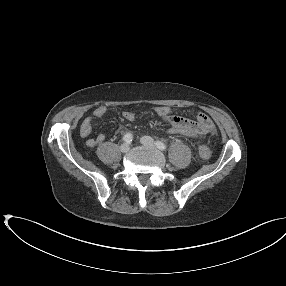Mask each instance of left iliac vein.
<instances>
[{
    "label": "left iliac vein",
    "instance_id": "obj_1",
    "mask_svg": "<svg viewBox=\"0 0 286 286\" xmlns=\"http://www.w3.org/2000/svg\"><path fill=\"white\" fill-rule=\"evenodd\" d=\"M141 143L148 147H155V141L150 136H143L141 138Z\"/></svg>",
    "mask_w": 286,
    "mask_h": 286
}]
</instances>
